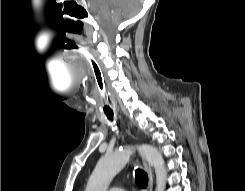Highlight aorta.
<instances>
[{
  "label": "aorta",
  "mask_w": 245,
  "mask_h": 191,
  "mask_svg": "<svg viewBox=\"0 0 245 191\" xmlns=\"http://www.w3.org/2000/svg\"><path fill=\"white\" fill-rule=\"evenodd\" d=\"M136 148L155 169L156 191H164L167 179L165 161L158 149L148 144L129 146L102 156L89 178L85 191H108L111 181L125 167Z\"/></svg>",
  "instance_id": "762f6f07"
}]
</instances>
